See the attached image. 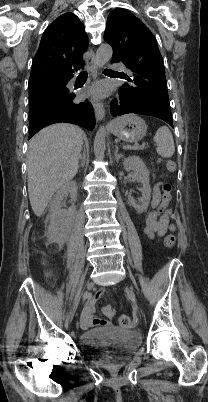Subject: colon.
Here are the masks:
<instances>
[{"label": "colon", "mask_w": 208, "mask_h": 402, "mask_svg": "<svg viewBox=\"0 0 208 402\" xmlns=\"http://www.w3.org/2000/svg\"><path fill=\"white\" fill-rule=\"evenodd\" d=\"M164 166H165V170L168 173H172V172H174L176 170V163L172 159L164 160ZM162 190H163V198H162V200L160 202L159 210L164 209L169 203V194H170V191H171V184L170 183H165L163 188H162ZM175 242H176V237L171 233L167 234L165 236V238H164V245L166 247H173L175 245ZM118 323L121 326L129 325L130 317L128 316V314H126V313L120 314L118 316Z\"/></svg>", "instance_id": "colon-1"}]
</instances>
